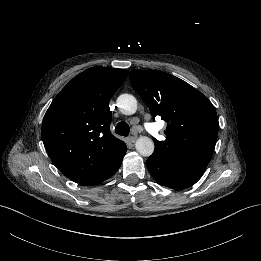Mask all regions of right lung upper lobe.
<instances>
[{"instance_id": "1", "label": "right lung upper lobe", "mask_w": 261, "mask_h": 261, "mask_svg": "<svg viewBox=\"0 0 261 261\" xmlns=\"http://www.w3.org/2000/svg\"><path fill=\"white\" fill-rule=\"evenodd\" d=\"M127 71L93 67L73 78L55 97L42 123V140L51 160L69 179L81 183L126 153L110 132L109 101Z\"/></svg>"}]
</instances>
